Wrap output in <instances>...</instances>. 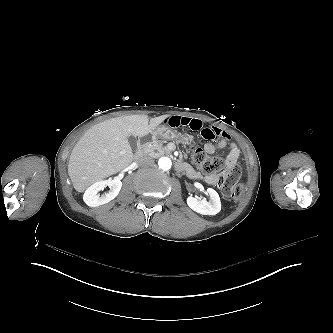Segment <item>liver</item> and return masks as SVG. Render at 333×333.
<instances>
[{
	"label": "liver",
	"instance_id": "6515ba94",
	"mask_svg": "<svg viewBox=\"0 0 333 333\" xmlns=\"http://www.w3.org/2000/svg\"><path fill=\"white\" fill-rule=\"evenodd\" d=\"M169 115H130L108 119L88 129L74 146L68 163L73 187L84 192L96 181L118 173L133 161L128 138L144 137Z\"/></svg>",
	"mask_w": 333,
	"mask_h": 333
}]
</instances>
